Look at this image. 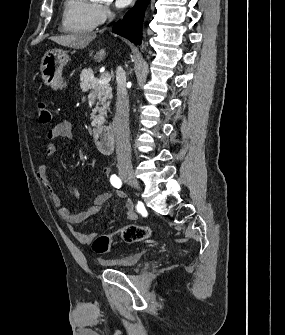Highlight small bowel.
<instances>
[{
  "label": "small bowel",
  "instance_id": "c3829d8e",
  "mask_svg": "<svg viewBox=\"0 0 285 335\" xmlns=\"http://www.w3.org/2000/svg\"><path fill=\"white\" fill-rule=\"evenodd\" d=\"M58 138H65L69 140L73 139V127L70 122L61 121L48 131L47 133L48 143L45 147V153L47 156L51 157L55 154L57 150L55 140ZM103 174L106 178L112 176L109 168H104ZM37 177L39 181L42 183V185L45 187L47 192L49 193L52 203L57 207L58 215L64 221L67 222L72 235L81 244L84 245H89L92 242L93 238L95 237V234H84L78 231L75 228V225L82 223L91 215L99 214L101 205L111 200L115 194H117L121 198H126V195L123 192H115V191L104 192L98 195L94 199L93 204L87 207L84 211L73 213L69 208L63 206L62 199L50 180L49 167L47 165L43 164L38 168ZM69 188L73 192L76 191L75 185L73 183L69 184ZM124 208H125L126 219L135 220L137 218V211L131 200L129 199L126 200ZM111 222H112L111 219L106 220V224H110Z\"/></svg>",
  "mask_w": 285,
  "mask_h": 335
}]
</instances>
